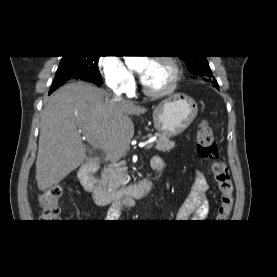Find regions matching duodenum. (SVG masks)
Returning a JSON list of instances; mask_svg holds the SVG:
<instances>
[{
	"label": "duodenum",
	"mask_w": 277,
	"mask_h": 277,
	"mask_svg": "<svg viewBox=\"0 0 277 277\" xmlns=\"http://www.w3.org/2000/svg\"><path fill=\"white\" fill-rule=\"evenodd\" d=\"M97 162L92 160L83 164L78 171V177L87 192L93 194L98 206H105L116 202L120 206L130 207L134 199L143 198L154 188V183L149 179H141L117 191H108L95 176Z\"/></svg>",
	"instance_id": "duodenum-1"
}]
</instances>
